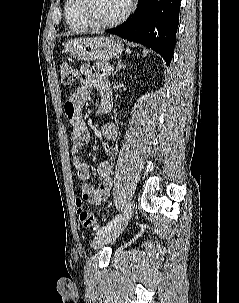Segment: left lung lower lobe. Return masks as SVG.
Segmentation results:
<instances>
[{
	"instance_id": "0a47b994",
	"label": "left lung lower lobe",
	"mask_w": 239,
	"mask_h": 303,
	"mask_svg": "<svg viewBox=\"0 0 239 303\" xmlns=\"http://www.w3.org/2000/svg\"><path fill=\"white\" fill-rule=\"evenodd\" d=\"M179 11L180 0H138L134 15L106 32L151 48L169 65L174 53Z\"/></svg>"
}]
</instances>
